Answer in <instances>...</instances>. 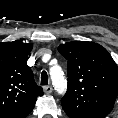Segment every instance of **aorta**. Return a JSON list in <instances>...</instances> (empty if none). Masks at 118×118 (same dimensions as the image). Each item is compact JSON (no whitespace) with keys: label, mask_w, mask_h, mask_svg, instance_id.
I'll use <instances>...</instances> for the list:
<instances>
[{"label":"aorta","mask_w":118,"mask_h":118,"mask_svg":"<svg viewBox=\"0 0 118 118\" xmlns=\"http://www.w3.org/2000/svg\"><path fill=\"white\" fill-rule=\"evenodd\" d=\"M50 75H51L52 84L55 90L58 93L63 94L67 88V80L61 68L58 66L51 67Z\"/></svg>","instance_id":"aorta-1"}]
</instances>
